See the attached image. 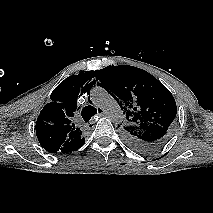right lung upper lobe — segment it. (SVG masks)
<instances>
[{
	"label": "right lung upper lobe",
	"mask_w": 213,
	"mask_h": 213,
	"mask_svg": "<svg viewBox=\"0 0 213 213\" xmlns=\"http://www.w3.org/2000/svg\"><path fill=\"white\" fill-rule=\"evenodd\" d=\"M95 71H85L63 80L51 93V103L44 106L36 122L40 145L50 153H71L85 142L74 123L77 98L89 93L96 83ZM92 80V81H91Z\"/></svg>",
	"instance_id": "right-lung-upper-lobe-1"
}]
</instances>
